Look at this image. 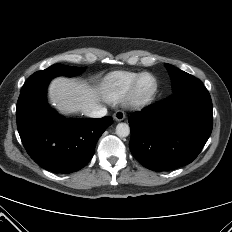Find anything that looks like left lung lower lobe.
<instances>
[{"label":"left lung lower lobe","instance_id":"1","mask_svg":"<svg viewBox=\"0 0 232 232\" xmlns=\"http://www.w3.org/2000/svg\"><path fill=\"white\" fill-rule=\"evenodd\" d=\"M130 150L146 168L166 171L191 163L213 127L212 101L202 83L183 88L129 117Z\"/></svg>","mask_w":232,"mask_h":232}]
</instances>
